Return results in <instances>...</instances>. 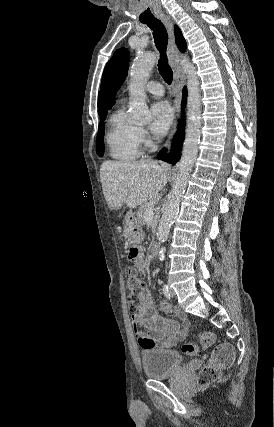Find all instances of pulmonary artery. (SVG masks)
<instances>
[{
  "mask_svg": "<svg viewBox=\"0 0 274 427\" xmlns=\"http://www.w3.org/2000/svg\"><path fill=\"white\" fill-rule=\"evenodd\" d=\"M145 90L154 96H163L165 94L163 85L155 81L148 82Z\"/></svg>",
  "mask_w": 274,
  "mask_h": 427,
  "instance_id": "obj_1",
  "label": "pulmonary artery"
}]
</instances>
